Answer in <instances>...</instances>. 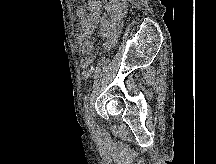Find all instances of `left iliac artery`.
Masks as SVG:
<instances>
[{
    "label": "left iliac artery",
    "mask_w": 216,
    "mask_h": 164,
    "mask_svg": "<svg viewBox=\"0 0 216 164\" xmlns=\"http://www.w3.org/2000/svg\"><path fill=\"white\" fill-rule=\"evenodd\" d=\"M85 107V117H86V123L89 127V129L94 130V124L91 120V112H90V98L89 96L86 97V102L84 104Z\"/></svg>",
    "instance_id": "44dca946"
}]
</instances>
